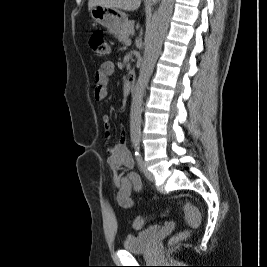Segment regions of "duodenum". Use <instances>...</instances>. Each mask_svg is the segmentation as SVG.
Listing matches in <instances>:
<instances>
[{"mask_svg":"<svg viewBox=\"0 0 267 267\" xmlns=\"http://www.w3.org/2000/svg\"><path fill=\"white\" fill-rule=\"evenodd\" d=\"M135 81H136V73L134 70H130L127 75V83L131 92L134 91Z\"/></svg>","mask_w":267,"mask_h":267,"instance_id":"410a0bca","label":"duodenum"}]
</instances>
